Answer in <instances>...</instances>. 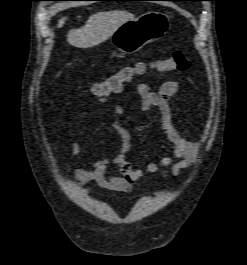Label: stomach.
I'll list each match as a JSON object with an SVG mask.
<instances>
[{"label":"stomach","instance_id":"stomach-1","mask_svg":"<svg viewBox=\"0 0 247 265\" xmlns=\"http://www.w3.org/2000/svg\"><path fill=\"white\" fill-rule=\"evenodd\" d=\"M169 27V17L165 13L149 11L123 23L110 39L120 52L132 54L161 39Z\"/></svg>","mask_w":247,"mask_h":265}]
</instances>
